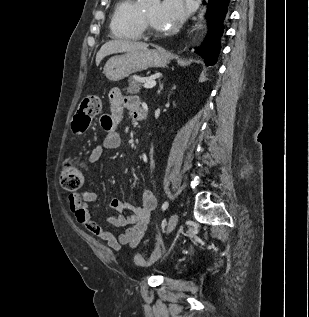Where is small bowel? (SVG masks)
I'll use <instances>...</instances> for the list:
<instances>
[{"label": "small bowel", "instance_id": "c3829d8e", "mask_svg": "<svg viewBox=\"0 0 309 317\" xmlns=\"http://www.w3.org/2000/svg\"><path fill=\"white\" fill-rule=\"evenodd\" d=\"M111 111L100 119V124L105 132L101 145L96 146L89 155V162H97L105 151L114 150L119 146L120 137L117 127L122 119L123 111H129L134 120H140L139 114L142 109L141 102L136 96H126L120 89L113 88L109 92ZM95 191L75 192L69 195V207L76 221L88 231L106 242L108 247L119 251L125 245L135 248L144 236L150 222L151 213L156 208L157 202L154 194L146 190L142 194L141 205L124 203L118 199L110 201V208L117 212V215L102 218L100 222L109 223L115 227H127L126 230L114 235L110 230L94 221L88 209V205L97 200Z\"/></svg>", "mask_w": 309, "mask_h": 317}]
</instances>
